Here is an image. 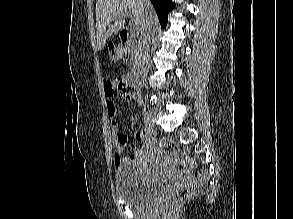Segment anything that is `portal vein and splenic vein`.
Masks as SVG:
<instances>
[{"label":"portal vein and splenic vein","mask_w":293,"mask_h":219,"mask_svg":"<svg viewBox=\"0 0 293 219\" xmlns=\"http://www.w3.org/2000/svg\"><path fill=\"white\" fill-rule=\"evenodd\" d=\"M122 15L125 16V17H132V15L130 13H127V12L126 13H122ZM133 28H134V26H133Z\"/></svg>","instance_id":"obj_1"}]
</instances>
